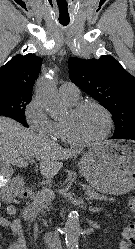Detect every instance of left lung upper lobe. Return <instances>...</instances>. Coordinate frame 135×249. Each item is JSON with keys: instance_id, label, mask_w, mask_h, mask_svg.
<instances>
[{"instance_id": "left-lung-upper-lobe-1", "label": "left lung upper lobe", "mask_w": 135, "mask_h": 249, "mask_svg": "<svg viewBox=\"0 0 135 249\" xmlns=\"http://www.w3.org/2000/svg\"><path fill=\"white\" fill-rule=\"evenodd\" d=\"M70 77L112 114L114 135L135 129V77L110 55L100 59H69Z\"/></svg>"}]
</instances>
